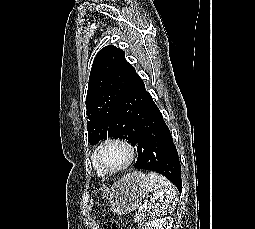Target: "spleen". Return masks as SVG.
<instances>
[{"instance_id":"1","label":"spleen","mask_w":255,"mask_h":229,"mask_svg":"<svg viewBox=\"0 0 255 229\" xmlns=\"http://www.w3.org/2000/svg\"><path fill=\"white\" fill-rule=\"evenodd\" d=\"M148 179L153 193V200L147 209L152 216H162L175 207L177 196L176 187L164 176L156 172H149Z\"/></svg>"}]
</instances>
